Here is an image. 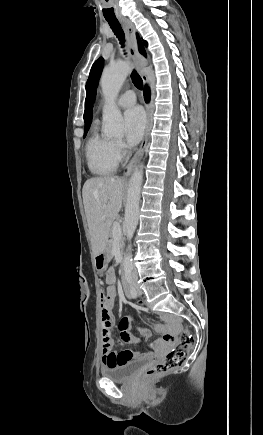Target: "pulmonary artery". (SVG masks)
<instances>
[{"label":"pulmonary artery","mask_w":263,"mask_h":435,"mask_svg":"<svg viewBox=\"0 0 263 435\" xmlns=\"http://www.w3.org/2000/svg\"><path fill=\"white\" fill-rule=\"evenodd\" d=\"M136 102V96L133 91L128 90L121 94L119 98L117 99V105L120 107H130L134 105Z\"/></svg>","instance_id":"pulmonary-artery-1"}]
</instances>
